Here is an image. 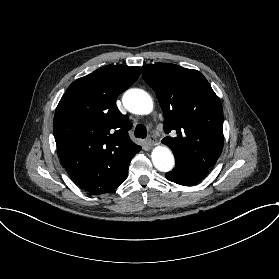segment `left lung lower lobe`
<instances>
[{
    "label": "left lung lower lobe",
    "mask_w": 279,
    "mask_h": 279,
    "mask_svg": "<svg viewBox=\"0 0 279 279\" xmlns=\"http://www.w3.org/2000/svg\"><path fill=\"white\" fill-rule=\"evenodd\" d=\"M207 174L208 170H200L186 164L176 163L175 168L166 173V178L179 185L192 186L199 183Z\"/></svg>",
    "instance_id": "obj_1"
}]
</instances>
